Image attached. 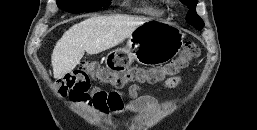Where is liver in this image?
Instances as JSON below:
<instances>
[{"label": "liver", "mask_w": 257, "mask_h": 130, "mask_svg": "<svg viewBox=\"0 0 257 130\" xmlns=\"http://www.w3.org/2000/svg\"><path fill=\"white\" fill-rule=\"evenodd\" d=\"M149 18L128 15L97 16L73 25L57 41L51 63L55 78H62L81 61L85 52L98 54L128 38Z\"/></svg>", "instance_id": "obj_1"}]
</instances>
